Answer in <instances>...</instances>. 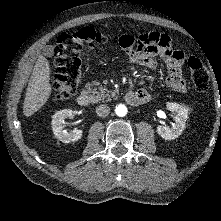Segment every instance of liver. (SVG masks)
Here are the masks:
<instances>
[{
	"label": "liver",
	"instance_id": "6515ba94",
	"mask_svg": "<svg viewBox=\"0 0 221 221\" xmlns=\"http://www.w3.org/2000/svg\"><path fill=\"white\" fill-rule=\"evenodd\" d=\"M51 90L49 62L41 54L38 56L28 82L23 104L24 115L29 117L41 109L48 101Z\"/></svg>",
	"mask_w": 221,
	"mask_h": 221
}]
</instances>
